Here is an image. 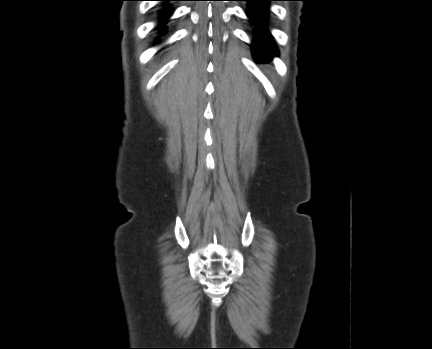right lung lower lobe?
<instances>
[{
  "label": "right lung lower lobe",
  "mask_w": 432,
  "mask_h": 349,
  "mask_svg": "<svg viewBox=\"0 0 432 349\" xmlns=\"http://www.w3.org/2000/svg\"><path fill=\"white\" fill-rule=\"evenodd\" d=\"M159 1H174V0H159ZM169 11H171V10H169ZM168 16H169L168 10H165L162 12L163 19H166Z\"/></svg>",
  "instance_id": "98d812e1"
}]
</instances>
